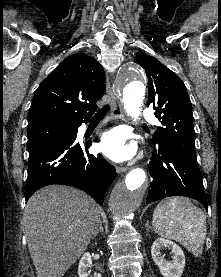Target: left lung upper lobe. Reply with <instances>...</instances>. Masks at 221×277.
<instances>
[{"label": "left lung upper lobe", "mask_w": 221, "mask_h": 277, "mask_svg": "<svg viewBox=\"0 0 221 277\" xmlns=\"http://www.w3.org/2000/svg\"><path fill=\"white\" fill-rule=\"evenodd\" d=\"M134 62L148 78V103L163 127L153 134V143L171 145L196 159L192 105L184 83L156 58L139 54Z\"/></svg>", "instance_id": "left-lung-upper-lobe-1"}]
</instances>
